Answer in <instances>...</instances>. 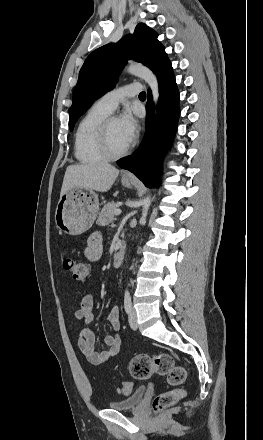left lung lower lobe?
<instances>
[{
    "label": "left lung lower lobe",
    "mask_w": 263,
    "mask_h": 440,
    "mask_svg": "<svg viewBox=\"0 0 263 440\" xmlns=\"http://www.w3.org/2000/svg\"><path fill=\"white\" fill-rule=\"evenodd\" d=\"M155 74L160 88L158 116L154 117L152 95L148 90L146 108L149 131L132 155L117 161L119 167L134 173L147 187L158 182L161 152L171 145L180 114L179 92L171 63L156 69ZM153 127L157 128L155 133L152 132Z\"/></svg>",
    "instance_id": "obj_1"
}]
</instances>
